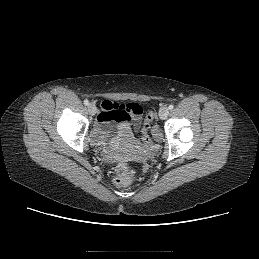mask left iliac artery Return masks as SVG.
Instances as JSON below:
<instances>
[{"instance_id":"left-iliac-artery-1","label":"left iliac artery","mask_w":259,"mask_h":259,"mask_svg":"<svg viewBox=\"0 0 259 259\" xmlns=\"http://www.w3.org/2000/svg\"><path fill=\"white\" fill-rule=\"evenodd\" d=\"M169 110H172L173 108H174V105L173 104H171V105H169Z\"/></svg>"}]
</instances>
